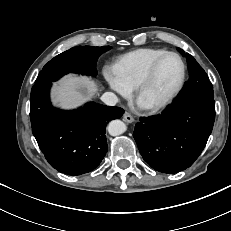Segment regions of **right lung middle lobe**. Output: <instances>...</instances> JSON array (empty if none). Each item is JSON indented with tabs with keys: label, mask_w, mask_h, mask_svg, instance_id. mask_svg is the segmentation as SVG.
<instances>
[{
	"label": "right lung middle lobe",
	"mask_w": 231,
	"mask_h": 231,
	"mask_svg": "<svg viewBox=\"0 0 231 231\" xmlns=\"http://www.w3.org/2000/svg\"><path fill=\"white\" fill-rule=\"evenodd\" d=\"M110 48V46L73 47L49 61L40 71L35 84H48L57 81L70 72L95 76L97 74L96 62L98 57Z\"/></svg>",
	"instance_id": "obj_1"
}]
</instances>
